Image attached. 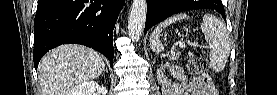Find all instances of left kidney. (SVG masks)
<instances>
[{"label":"left kidney","instance_id":"5707ae66","mask_svg":"<svg viewBox=\"0 0 277 95\" xmlns=\"http://www.w3.org/2000/svg\"><path fill=\"white\" fill-rule=\"evenodd\" d=\"M166 68H169V70H172L169 66H162L160 69L157 70V80L158 83L161 85V88L164 93H178L181 91V87L179 84H172L171 80H169L165 75L164 71Z\"/></svg>","mask_w":277,"mask_h":95}]
</instances>
